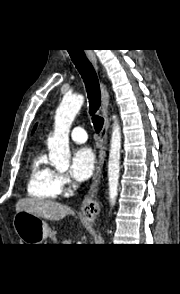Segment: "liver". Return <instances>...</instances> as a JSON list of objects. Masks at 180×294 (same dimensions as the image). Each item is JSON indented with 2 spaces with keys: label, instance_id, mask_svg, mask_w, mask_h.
Listing matches in <instances>:
<instances>
[{
  "label": "liver",
  "instance_id": "obj_1",
  "mask_svg": "<svg viewBox=\"0 0 180 294\" xmlns=\"http://www.w3.org/2000/svg\"><path fill=\"white\" fill-rule=\"evenodd\" d=\"M26 211L37 217L59 221L66 215L72 214L69 206L37 198H25L18 200L16 204V213Z\"/></svg>",
  "mask_w": 180,
  "mask_h": 294
}]
</instances>
